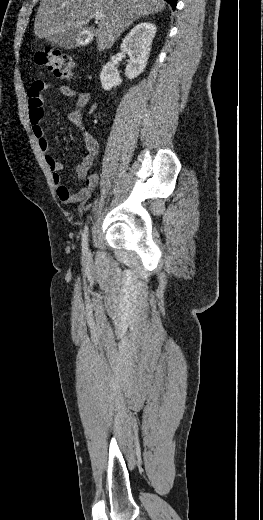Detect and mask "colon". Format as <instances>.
<instances>
[{"label": "colon", "mask_w": 263, "mask_h": 520, "mask_svg": "<svg viewBox=\"0 0 263 520\" xmlns=\"http://www.w3.org/2000/svg\"><path fill=\"white\" fill-rule=\"evenodd\" d=\"M34 62L42 68L52 72L56 77L74 79V62L68 55L58 50L46 47L33 55Z\"/></svg>", "instance_id": "5ec220e1"}]
</instances>
